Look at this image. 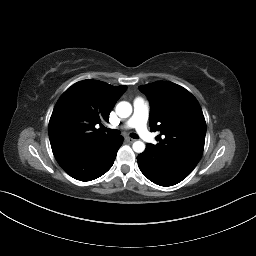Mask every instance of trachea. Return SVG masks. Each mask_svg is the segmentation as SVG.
Listing matches in <instances>:
<instances>
[{"label": "trachea", "instance_id": "1", "mask_svg": "<svg viewBox=\"0 0 256 256\" xmlns=\"http://www.w3.org/2000/svg\"><path fill=\"white\" fill-rule=\"evenodd\" d=\"M103 130H104L105 132H108V133L112 134V135H119V134H120L119 130H116V129L104 128ZM130 136H131L132 138H134V139H137V138H138V135H137L136 133H131Z\"/></svg>", "mask_w": 256, "mask_h": 256}]
</instances>
